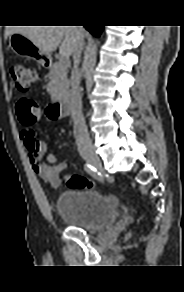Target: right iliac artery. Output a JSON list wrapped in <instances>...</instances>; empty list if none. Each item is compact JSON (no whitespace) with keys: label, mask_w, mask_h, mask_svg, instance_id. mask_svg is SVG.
Wrapping results in <instances>:
<instances>
[{"label":"right iliac artery","mask_w":184,"mask_h":292,"mask_svg":"<svg viewBox=\"0 0 184 292\" xmlns=\"http://www.w3.org/2000/svg\"><path fill=\"white\" fill-rule=\"evenodd\" d=\"M84 168L86 172L89 173L93 178L97 179L98 181L105 182V179H102L100 172H98L95 167L86 163Z\"/></svg>","instance_id":"1"}]
</instances>
